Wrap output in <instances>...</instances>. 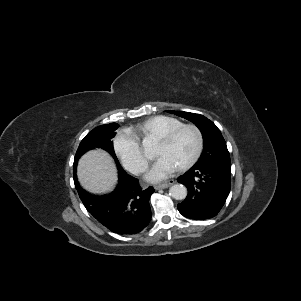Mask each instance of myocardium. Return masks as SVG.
<instances>
[{"label": "myocardium", "mask_w": 301, "mask_h": 301, "mask_svg": "<svg viewBox=\"0 0 301 301\" xmlns=\"http://www.w3.org/2000/svg\"><path fill=\"white\" fill-rule=\"evenodd\" d=\"M185 129H191L194 132L196 136V148L193 155L181 166H179L180 170L189 168L190 166L195 164L196 161L199 159L203 149V136L201 130L195 124H181L180 126L166 132L165 134L157 138L158 141L169 143L173 141Z\"/></svg>", "instance_id": "obj_1"}]
</instances>
